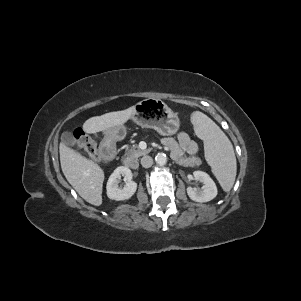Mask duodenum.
Instances as JSON below:
<instances>
[{"mask_svg":"<svg viewBox=\"0 0 301 301\" xmlns=\"http://www.w3.org/2000/svg\"><path fill=\"white\" fill-rule=\"evenodd\" d=\"M116 148L114 141L109 139L103 141L98 152L100 159L109 163L115 161L118 155ZM125 166L129 169H135L137 164L134 160L127 159L125 161Z\"/></svg>","mask_w":301,"mask_h":301,"instance_id":"obj_1","label":"duodenum"}]
</instances>
